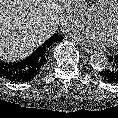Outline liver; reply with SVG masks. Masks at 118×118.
Segmentation results:
<instances>
[{"label":"liver","mask_w":118,"mask_h":118,"mask_svg":"<svg viewBox=\"0 0 118 118\" xmlns=\"http://www.w3.org/2000/svg\"><path fill=\"white\" fill-rule=\"evenodd\" d=\"M58 0H0V59L19 61L57 30Z\"/></svg>","instance_id":"obj_1"}]
</instances>
